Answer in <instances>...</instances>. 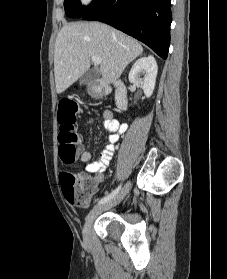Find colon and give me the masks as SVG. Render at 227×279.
Segmentation results:
<instances>
[{
	"instance_id": "5ec220e1",
	"label": "colon",
	"mask_w": 227,
	"mask_h": 279,
	"mask_svg": "<svg viewBox=\"0 0 227 279\" xmlns=\"http://www.w3.org/2000/svg\"><path fill=\"white\" fill-rule=\"evenodd\" d=\"M79 112L77 104L70 100H63L59 104L58 122L60 125L58 135L59 157L65 164H72L80 151L74 124ZM62 186L66 195L74 197V202L82 205L90 200L94 194L92 180H85L70 172L63 173Z\"/></svg>"
}]
</instances>
